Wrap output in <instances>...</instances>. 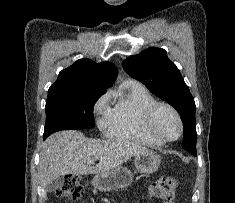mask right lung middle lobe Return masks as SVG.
<instances>
[{"mask_svg":"<svg viewBox=\"0 0 235 203\" xmlns=\"http://www.w3.org/2000/svg\"><path fill=\"white\" fill-rule=\"evenodd\" d=\"M104 92L84 87L49 89L43 136L60 130L93 128V107Z\"/></svg>","mask_w":235,"mask_h":203,"instance_id":"right-lung-middle-lobe-1","label":"right lung middle lobe"}]
</instances>
